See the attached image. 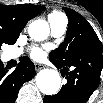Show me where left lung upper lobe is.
I'll list each match as a JSON object with an SVG mask.
<instances>
[{"label": "left lung upper lobe", "instance_id": "obj_1", "mask_svg": "<svg viewBox=\"0 0 103 103\" xmlns=\"http://www.w3.org/2000/svg\"><path fill=\"white\" fill-rule=\"evenodd\" d=\"M63 10L69 18L66 38L59 48L49 54L50 61L61 67L89 54L93 48L103 50L102 43L88 21L72 9Z\"/></svg>", "mask_w": 103, "mask_h": 103}]
</instances>
